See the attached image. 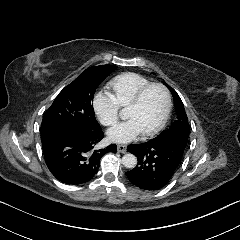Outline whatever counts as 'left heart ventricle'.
<instances>
[{
  "instance_id": "left-heart-ventricle-1",
  "label": "left heart ventricle",
  "mask_w": 240,
  "mask_h": 240,
  "mask_svg": "<svg viewBox=\"0 0 240 240\" xmlns=\"http://www.w3.org/2000/svg\"><path fill=\"white\" fill-rule=\"evenodd\" d=\"M164 109V96L159 88H151L144 94L140 105L123 112V118L133 120L141 132L153 129L160 121Z\"/></svg>"
}]
</instances>
